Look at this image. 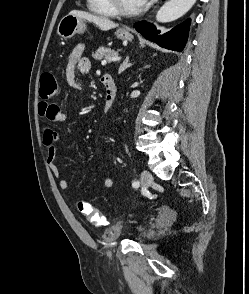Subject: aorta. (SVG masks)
I'll return each mask as SVG.
<instances>
[{
  "instance_id": "aorta-1",
  "label": "aorta",
  "mask_w": 249,
  "mask_h": 294,
  "mask_svg": "<svg viewBox=\"0 0 249 294\" xmlns=\"http://www.w3.org/2000/svg\"><path fill=\"white\" fill-rule=\"evenodd\" d=\"M196 0H169L157 12L156 20L162 23L177 20L186 14Z\"/></svg>"
}]
</instances>
